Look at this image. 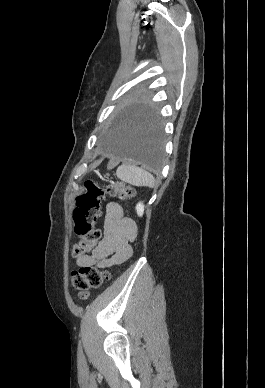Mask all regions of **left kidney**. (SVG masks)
Returning <instances> with one entry per match:
<instances>
[{
  "mask_svg": "<svg viewBox=\"0 0 265 388\" xmlns=\"http://www.w3.org/2000/svg\"><path fill=\"white\" fill-rule=\"evenodd\" d=\"M136 210H137L138 216H143V214H144V206H143L142 202H139V204H137Z\"/></svg>",
  "mask_w": 265,
  "mask_h": 388,
  "instance_id": "1",
  "label": "left kidney"
}]
</instances>
